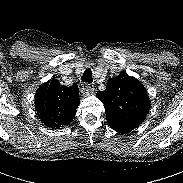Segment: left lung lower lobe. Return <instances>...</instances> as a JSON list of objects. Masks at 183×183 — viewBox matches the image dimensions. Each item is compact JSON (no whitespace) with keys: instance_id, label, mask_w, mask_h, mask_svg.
Returning <instances> with one entry per match:
<instances>
[{"instance_id":"1","label":"left lung lower lobe","mask_w":183,"mask_h":183,"mask_svg":"<svg viewBox=\"0 0 183 183\" xmlns=\"http://www.w3.org/2000/svg\"><path fill=\"white\" fill-rule=\"evenodd\" d=\"M112 129L119 132V133H127V132L131 131L130 129H122L119 127H113Z\"/></svg>"}]
</instances>
